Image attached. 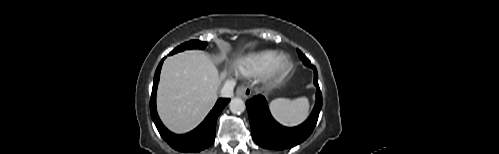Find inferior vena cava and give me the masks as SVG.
<instances>
[{
    "label": "inferior vena cava",
    "instance_id": "602c4592",
    "mask_svg": "<svg viewBox=\"0 0 499 154\" xmlns=\"http://www.w3.org/2000/svg\"><path fill=\"white\" fill-rule=\"evenodd\" d=\"M236 85L235 80H227L220 91V96L225 98H231L233 96V89Z\"/></svg>",
    "mask_w": 499,
    "mask_h": 154
}]
</instances>
